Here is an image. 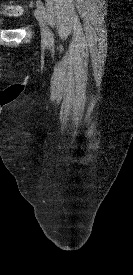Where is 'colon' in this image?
Listing matches in <instances>:
<instances>
[{"mask_svg":"<svg viewBox=\"0 0 133 275\" xmlns=\"http://www.w3.org/2000/svg\"><path fill=\"white\" fill-rule=\"evenodd\" d=\"M3 12L10 16H17L22 13V7L16 4H10L3 8Z\"/></svg>","mask_w":133,"mask_h":275,"instance_id":"5ec220e1","label":"colon"}]
</instances>
